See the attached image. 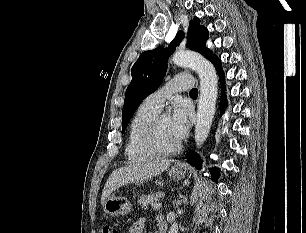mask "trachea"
<instances>
[{
    "label": "trachea",
    "mask_w": 306,
    "mask_h": 233,
    "mask_svg": "<svg viewBox=\"0 0 306 233\" xmlns=\"http://www.w3.org/2000/svg\"><path fill=\"white\" fill-rule=\"evenodd\" d=\"M198 94V89L194 88L190 91V95H197Z\"/></svg>",
    "instance_id": "3493384b"
}]
</instances>
